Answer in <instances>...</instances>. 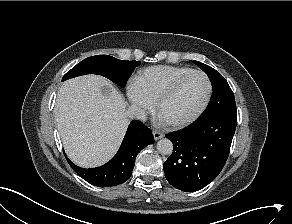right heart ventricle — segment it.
Returning a JSON list of instances; mask_svg holds the SVG:
<instances>
[{"label":"right heart ventricle","instance_id":"right-heart-ventricle-1","mask_svg":"<svg viewBox=\"0 0 292 224\" xmlns=\"http://www.w3.org/2000/svg\"><path fill=\"white\" fill-rule=\"evenodd\" d=\"M193 71L195 69L186 66H152L138 73L135 84L149 100L155 102L176 80Z\"/></svg>","mask_w":292,"mask_h":224}]
</instances>
